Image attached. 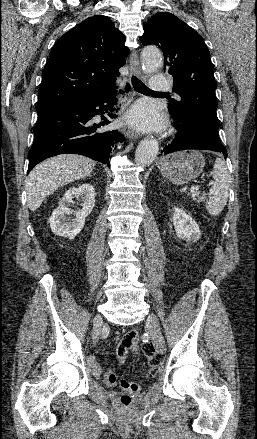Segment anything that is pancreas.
Returning <instances> with one entry per match:
<instances>
[{
    "label": "pancreas",
    "mask_w": 257,
    "mask_h": 439,
    "mask_svg": "<svg viewBox=\"0 0 257 439\" xmlns=\"http://www.w3.org/2000/svg\"><path fill=\"white\" fill-rule=\"evenodd\" d=\"M191 198H192V200H194V201H196L198 203L205 201V196H203V195H201V194H199L197 192H193L191 194Z\"/></svg>",
    "instance_id": "obj_1"
}]
</instances>
